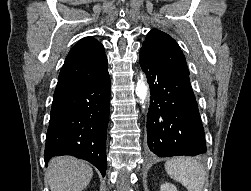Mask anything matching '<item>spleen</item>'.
Here are the masks:
<instances>
[{"instance_id": "spleen-1", "label": "spleen", "mask_w": 251, "mask_h": 191, "mask_svg": "<svg viewBox=\"0 0 251 191\" xmlns=\"http://www.w3.org/2000/svg\"><path fill=\"white\" fill-rule=\"evenodd\" d=\"M165 169L173 179L185 185L188 191H202L206 181L203 165L193 157H177L167 159Z\"/></svg>"}]
</instances>
